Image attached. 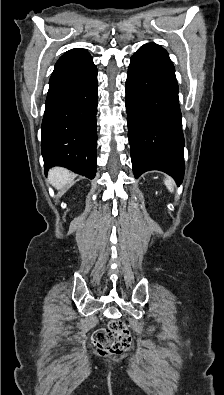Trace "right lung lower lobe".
<instances>
[{
  "mask_svg": "<svg viewBox=\"0 0 224 395\" xmlns=\"http://www.w3.org/2000/svg\"><path fill=\"white\" fill-rule=\"evenodd\" d=\"M97 68L83 49L55 64L42 121L45 172L60 165L90 179L96 174Z\"/></svg>",
  "mask_w": 224,
  "mask_h": 395,
  "instance_id": "right-lung-lower-lobe-1",
  "label": "right lung lower lobe"
}]
</instances>
